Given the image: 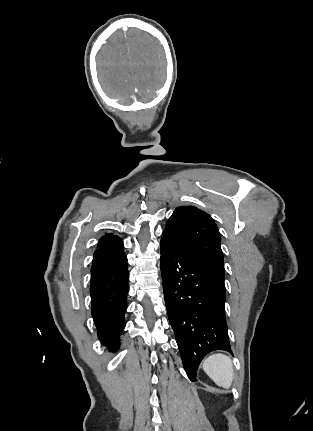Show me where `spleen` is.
<instances>
[{
  "label": "spleen",
  "instance_id": "3e777b00",
  "mask_svg": "<svg viewBox=\"0 0 313 431\" xmlns=\"http://www.w3.org/2000/svg\"><path fill=\"white\" fill-rule=\"evenodd\" d=\"M204 372L217 386L229 389L233 382L234 370L232 360L221 353L213 354L203 361Z\"/></svg>",
  "mask_w": 313,
  "mask_h": 431
}]
</instances>
